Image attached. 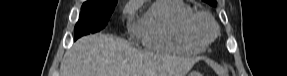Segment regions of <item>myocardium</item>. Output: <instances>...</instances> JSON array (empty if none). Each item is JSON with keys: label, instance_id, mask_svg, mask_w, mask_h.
<instances>
[{"label": "myocardium", "instance_id": "f54148a6", "mask_svg": "<svg viewBox=\"0 0 287 76\" xmlns=\"http://www.w3.org/2000/svg\"><path fill=\"white\" fill-rule=\"evenodd\" d=\"M206 26L209 32L206 33L203 27ZM189 32L192 37L200 43L209 44L218 34V26L211 15L205 12H197L189 20Z\"/></svg>", "mask_w": 287, "mask_h": 76}]
</instances>
